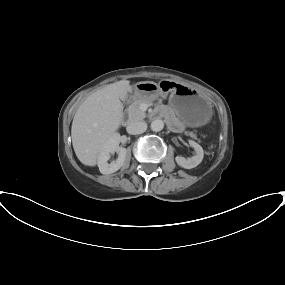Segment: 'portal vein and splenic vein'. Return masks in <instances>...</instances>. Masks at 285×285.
Returning <instances> with one entry per match:
<instances>
[{"instance_id": "portal-vein-and-splenic-vein-1", "label": "portal vein and splenic vein", "mask_w": 285, "mask_h": 285, "mask_svg": "<svg viewBox=\"0 0 285 285\" xmlns=\"http://www.w3.org/2000/svg\"><path fill=\"white\" fill-rule=\"evenodd\" d=\"M148 106L146 105V104H142L141 105V110H142V108H144V109H146Z\"/></svg>"}]
</instances>
